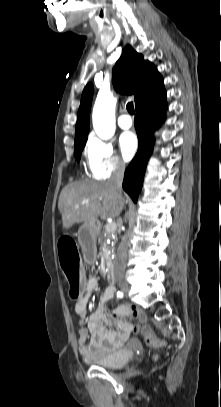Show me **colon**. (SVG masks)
Segmentation results:
<instances>
[{"mask_svg": "<svg viewBox=\"0 0 221 407\" xmlns=\"http://www.w3.org/2000/svg\"><path fill=\"white\" fill-rule=\"evenodd\" d=\"M60 265L68 279L72 297L78 300L83 284L79 255L74 241L70 237H62L58 244ZM141 334L145 343L151 347H161L163 342L155 337L149 326L141 328Z\"/></svg>", "mask_w": 221, "mask_h": 407, "instance_id": "1", "label": "colon"}]
</instances>
